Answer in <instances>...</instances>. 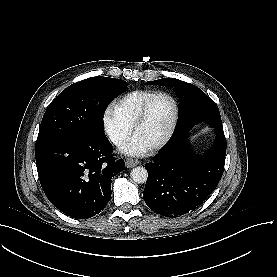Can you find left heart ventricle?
Listing matches in <instances>:
<instances>
[{
  "mask_svg": "<svg viewBox=\"0 0 277 277\" xmlns=\"http://www.w3.org/2000/svg\"><path fill=\"white\" fill-rule=\"evenodd\" d=\"M172 114V102L163 97L156 98L150 105L136 137L146 145L160 141L168 130Z\"/></svg>",
  "mask_w": 277,
  "mask_h": 277,
  "instance_id": "1",
  "label": "left heart ventricle"
}]
</instances>
